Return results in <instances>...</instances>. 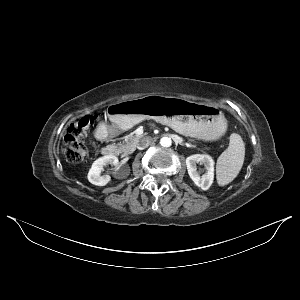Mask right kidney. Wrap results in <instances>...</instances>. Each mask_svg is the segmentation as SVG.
<instances>
[{
	"label": "right kidney",
	"mask_w": 300,
	"mask_h": 300,
	"mask_svg": "<svg viewBox=\"0 0 300 300\" xmlns=\"http://www.w3.org/2000/svg\"><path fill=\"white\" fill-rule=\"evenodd\" d=\"M108 164L116 166L118 158L114 155H106L95 160L87 175L89 182L97 186H105L111 177L109 175H101V173Z\"/></svg>",
	"instance_id": "right-kidney-1"
}]
</instances>
